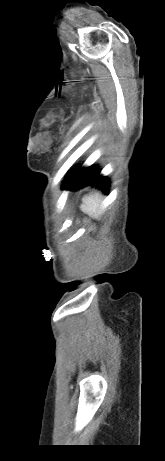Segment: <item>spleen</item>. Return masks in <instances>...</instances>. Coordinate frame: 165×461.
Wrapping results in <instances>:
<instances>
[{
	"mask_svg": "<svg viewBox=\"0 0 165 461\" xmlns=\"http://www.w3.org/2000/svg\"><path fill=\"white\" fill-rule=\"evenodd\" d=\"M81 210L91 217L98 218L101 211V198L98 193L89 194L82 199Z\"/></svg>",
	"mask_w": 165,
	"mask_h": 461,
	"instance_id": "3e777b00",
	"label": "spleen"
}]
</instances>
